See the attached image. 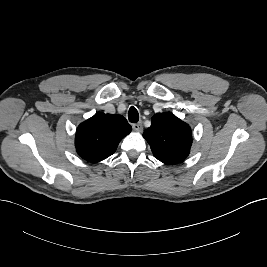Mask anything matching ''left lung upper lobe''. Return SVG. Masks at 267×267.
<instances>
[{
	"instance_id": "1",
	"label": "left lung upper lobe",
	"mask_w": 267,
	"mask_h": 267,
	"mask_svg": "<svg viewBox=\"0 0 267 267\" xmlns=\"http://www.w3.org/2000/svg\"><path fill=\"white\" fill-rule=\"evenodd\" d=\"M143 137L149 143L154 157L169 165L182 162L192 144L189 125L171 113L155 114Z\"/></svg>"
}]
</instances>
